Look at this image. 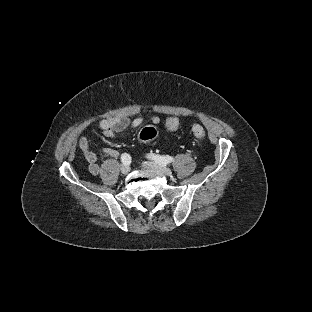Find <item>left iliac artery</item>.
<instances>
[{
  "mask_svg": "<svg viewBox=\"0 0 312 312\" xmlns=\"http://www.w3.org/2000/svg\"><path fill=\"white\" fill-rule=\"evenodd\" d=\"M147 158L154 160L156 163L160 165H166L174 161L173 157L169 155L161 156V155L150 154L148 155Z\"/></svg>",
  "mask_w": 312,
  "mask_h": 312,
  "instance_id": "obj_1",
  "label": "left iliac artery"
}]
</instances>
